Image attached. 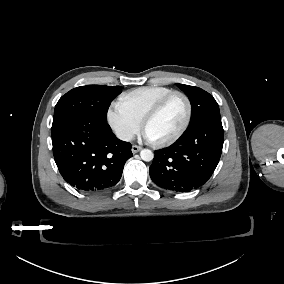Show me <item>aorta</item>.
Listing matches in <instances>:
<instances>
[{
  "mask_svg": "<svg viewBox=\"0 0 284 284\" xmlns=\"http://www.w3.org/2000/svg\"><path fill=\"white\" fill-rule=\"evenodd\" d=\"M140 156L143 161H147V162L153 160L154 158L153 152L149 149H142L140 152Z\"/></svg>",
  "mask_w": 284,
  "mask_h": 284,
  "instance_id": "1",
  "label": "aorta"
}]
</instances>
